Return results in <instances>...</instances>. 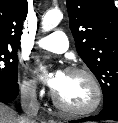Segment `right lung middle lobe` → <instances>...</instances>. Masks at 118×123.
Segmentation results:
<instances>
[{
  "label": "right lung middle lobe",
  "instance_id": "obj_1",
  "mask_svg": "<svg viewBox=\"0 0 118 123\" xmlns=\"http://www.w3.org/2000/svg\"><path fill=\"white\" fill-rule=\"evenodd\" d=\"M17 49L0 48V84H15L18 79Z\"/></svg>",
  "mask_w": 118,
  "mask_h": 123
}]
</instances>
